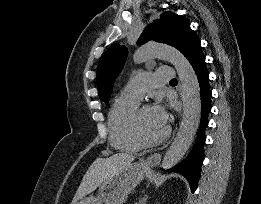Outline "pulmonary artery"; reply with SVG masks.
<instances>
[{"mask_svg": "<svg viewBox=\"0 0 261 204\" xmlns=\"http://www.w3.org/2000/svg\"><path fill=\"white\" fill-rule=\"evenodd\" d=\"M175 75L173 68L164 66L153 72H142L135 76L121 91V97L140 102L145 93L170 81Z\"/></svg>", "mask_w": 261, "mask_h": 204, "instance_id": "e3ab8cb5", "label": "pulmonary artery"}]
</instances>
